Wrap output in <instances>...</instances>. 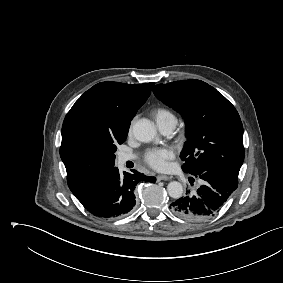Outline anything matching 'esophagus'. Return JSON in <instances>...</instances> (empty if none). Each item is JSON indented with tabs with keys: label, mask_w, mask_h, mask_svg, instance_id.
Returning <instances> with one entry per match:
<instances>
[{
	"label": "esophagus",
	"mask_w": 283,
	"mask_h": 283,
	"mask_svg": "<svg viewBox=\"0 0 283 283\" xmlns=\"http://www.w3.org/2000/svg\"><path fill=\"white\" fill-rule=\"evenodd\" d=\"M170 179H171V177H169L167 175H158L157 176V181H162V180L167 181V180H170Z\"/></svg>",
	"instance_id": "34e87169"
}]
</instances>
